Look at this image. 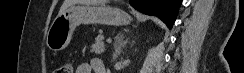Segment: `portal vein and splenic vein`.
I'll return each instance as SVG.
<instances>
[{
	"label": "portal vein and splenic vein",
	"mask_w": 244,
	"mask_h": 73,
	"mask_svg": "<svg viewBox=\"0 0 244 73\" xmlns=\"http://www.w3.org/2000/svg\"><path fill=\"white\" fill-rule=\"evenodd\" d=\"M106 42H107V43H111L112 40H111V39H107Z\"/></svg>",
	"instance_id": "portal-vein-and-splenic-vein-1"
}]
</instances>
